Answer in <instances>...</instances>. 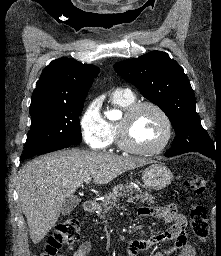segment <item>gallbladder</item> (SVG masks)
<instances>
[{
  "label": "gallbladder",
  "mask_w": 221,
  "mask_h": 256,
  "mask_svg": "<svg viewBox=\"0 0 221 256\" xmlns=\"http://www.w3.org/2000/svg\"><path fill=\"white\" fill-rule=\"evenodd\" d=\"M79 199L76 196H71L69 199L66 200V203L62 209L63 215L70 214L74 208L78 205Z\"/></svg>",
  "instance_id": "1"
}]
</instances>
